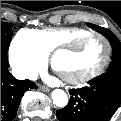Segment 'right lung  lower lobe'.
I'll use <instances>...</instances> for the list:
<instances>
[{"instance_id":"1","label":"right lung lower lobe","mask_w":121,"mask_h":121,"mask_svg":"<svg viewBox=\"0 0 121 121\" xmlns=\"http://www.w3.org/2000/svg\"><path fill=\"white\" fill-rule=\"evenodd\" d=\"M6 53H1V121H12L20 104V99L28 89H36L29 80H17L8 71Z\"/></svg>"}]
</instances>
